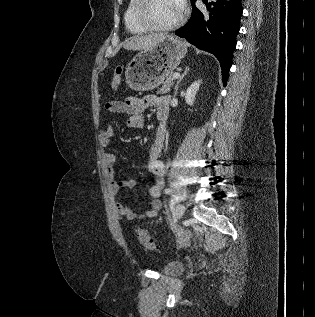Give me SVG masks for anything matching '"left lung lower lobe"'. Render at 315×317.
<instances>
[{
    "instance_id": "0a47b994",
    "label": "left lung lower lobe",
    "mask_w": 315,
    "mask_h": 317,
    "mask_svg": "<svg viewBox=\"0 0 315 317\" xmlns=\"http://www.w3.org/2000/svg\"><path fill=\"white\" fill-rule=\"evenodd\" d=\"M195 1H191L189 21L175 34L197 48L214 54L221 64L223 83L226 85L240 30L243 13L241 0H215L206 4V9H198Z\"/></svg>"
}]
</instances>
